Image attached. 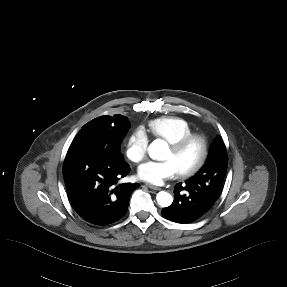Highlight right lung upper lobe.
Returning <instances> with one entry per match:
<instances>
[{"instance_id":"1","label":"right lung upper lobe","mask_w":287,"mask_h":287,"mask_svg":"<svg viewBox=\"0 0 287 287\" xmlns=\"http://www.w3.org/2000/svg\"><path fill=\"white\" fill-rule=\"evenodd\" d=\"M122 115H114V117L111 116H101L98 118H95L98 122L101 123V131L105 136H110L112 132L114 131L116 125L118 122L123 118Z\"/></svg>"}]
</instances>
